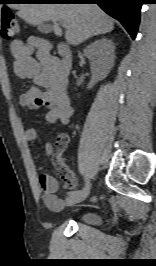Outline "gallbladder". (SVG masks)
Returning <instances> with one entry per match:
<instances>
[{
    "label": "gallbladder",
    "instance_id": "gallbladder-1",
    "mask_svg": "<svg viewBox=\"0 0 156 266\" xmlns=\"http://www.w3.org/2000/svg\"><path fill=\"white\" fill-rule=\"evenodd\" d=\"M38 30L44 34H47L51 31V25L47 22H44L40 25H38Z\"/></svg>",
    "mask_w": 156,
    "mask_h": 266
}]
</instances>
